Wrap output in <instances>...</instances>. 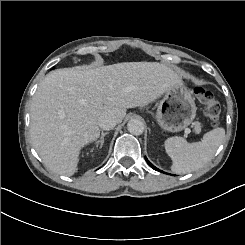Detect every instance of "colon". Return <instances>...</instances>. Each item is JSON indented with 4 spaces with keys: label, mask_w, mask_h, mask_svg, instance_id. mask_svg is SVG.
Instances as JSON below:
<instances>
[{
    "label": "colon",
    "mask_w": 245,
    "mask_h": 245,
    "mask_svg": "<svg viewBox=\"0 0 245 245\" xmlns=\"http://www.w3.org/2000/svg\"><path fill=\"white\" fill-rule=\"evenodd\" d=\"M194 93L199 103L204 107L207 118L213 125H217L220 120L221 107L214 95L203 87H196Z\"/></svg>",
    "instance_id": "obj_1"
}]
</instances>
